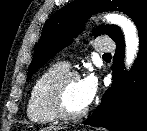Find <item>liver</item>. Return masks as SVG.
<instances>
[{
  "instance_id": "obj_1",
  "label": "liver",
  "mask_w": 147,
  "mask_h": 131,
  "mask_svg": "<svg viewBox=\"0 0 147 131\" xmlns=\"http://www.w3.org/2000/svg\"><path fill=\"white\" fill-rule=\"evenodd\" d=\"M62 127H54V126H50L47 128L42 129L41 131H58V130H62Z\"/></svg>"
}]
</instances>
